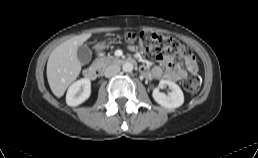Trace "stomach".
<instances>
[{
  "label": "stomach",
  "instance_id": "1",
  "mask_svg": "<svg viewBox=\"0 0 258 158\" xmlns=\"http://www.w3.org/2000/svg\"><path fill=\"white\" fill-rule=\"evenodd\" d=\"M105 47H106V41L99 42V43H97L96 46H95V48H96L97 50H102V49H104Z\"/></svg>",
  "mask_w": 258,
  "mask_h": 158
}]
</instances>
